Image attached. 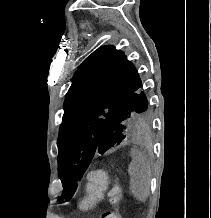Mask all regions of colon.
Wrapping results in <instances>:
<instances>
[{
	"label": "colon",
	"instance_id": "obj_1",
	"mask_svg": "<svg viewBox=\"0 0 211 218\" xmlns=\"http://www.w3.org/2000/svg\"><path fill=\"white\" fill-rule=\"evenodd\" d=\"M110 181V176L105 170H94L88 174V183L86 195L82 201L84 208L95 206L103 197ZM109 196L112 204L117 206L120 197V187L115 185L109 191ZM101 218H121L117 210L106 212Z\"/></svg>",
	"mask_w": 211,
	"mask_h": 218
}]
</instances>
